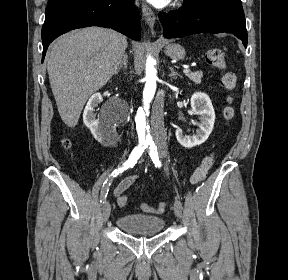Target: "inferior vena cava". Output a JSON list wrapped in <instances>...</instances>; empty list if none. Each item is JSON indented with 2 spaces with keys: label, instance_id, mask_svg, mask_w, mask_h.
Listing matches in <instances>:
<instances>
[{
  "label": "inferior vena cava",
  "instance_id": "602c4592",
  "mask_svg": "<svg viewBox=\"0 0 288 280\" xmlns=\"http://www.w3.org/2000/svg\"><path fill=\"white\" fill-rule=\"evenodd\" d=\"M169 96V92H166L165 89H161L160 92H156V96H154V105H151V137H154V141L155 143H158V149L160 150L155 153V156L160 157L161 159L165 158V150H167V147L170 145L169 142H166L167 136L164 125V113L161 105L164 103V97Z\"/></svg>",
  "mask_w": 288,
  "mask_h": 280
}]
</instances>
